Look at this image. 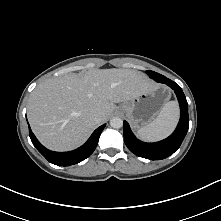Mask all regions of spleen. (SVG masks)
I'll list each match as a JSON object with an SVG mask.
<instances>
[{"instance_id":"1","label":"spleen","mask_w":221,"mask_h":221,"mask_svg":"<svg viewBox=\"0 0 221 221\" xmlns=\"http://www.w3.org/2000/svg\"><path fill=\"white\" fill-rule=\"evenodd\" d=\"M179 116L176 101L164 104L158 116L146 126L137 131V135L144 141H156L168 136L175 128Z\"/></svg>"}]
</instances>
